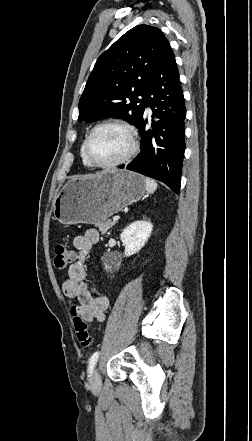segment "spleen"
<instances>
[{
	"label": "spleen",
	"instance_id": "1",
	"mask_svg": "<svg viewBox=\"0 0 252 441\" xmlns=\"http://www.w3.org/2000/svg\"><path fill=\"white\" fill-rule=\"evenodd\" d=\"M145 186H146V190L149 194H153L155 192V190L158 187V184L150 179V178H145Z\"/></svg>",
	"mask_w": 252,
	"mask_h": 441
}]
</instances>
